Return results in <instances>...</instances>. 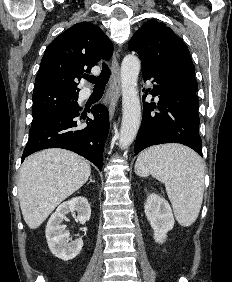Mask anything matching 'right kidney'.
I'll list each match as a JSON object with an SVG mask.
<instances>
[{"label":"right kidney","mask_w":232,"mask_h":282,"mask_svg":"<svg viewBox=\"0 0 232 282\" xmlns=\"http://www.w3.org/2000/svg\"><path fill=\"white\" fill-rule=\"evenodd\" d=\"M74 211L78 213L77 220L81 224L90 220L91 209L87 199L74 197L58 206L46 226V238L51 252L64 261L75 258L83 247L82 239L72 240L65 226L61 225L66 215Z\"/></svg>","instance_id":"ca27d5eb"}]
</instances>
